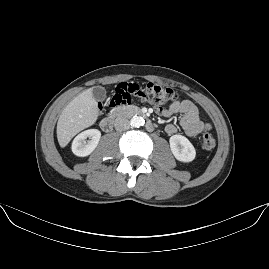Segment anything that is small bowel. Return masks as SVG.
<instances>
[{
    "instance_id": "small-bowel-1",
    "label": "small bowel",
    "mask_w": 269,
    "mask_h": 269,
    "mask_svg": "<svg viewBox=\"0 0 269 269\" xmlns=\"http://www.w3.org/2000/svg\"><path fill=\"white\" fill-rule=\"evenodd\" d=\"M161 114L165 117L180 115V126L189 137H196L210 130V125L201 120L198 108L190 100L177 101L162 109ZM166 132L168 134H175L177 132L176 125L168 124Z\"/></svg>"
}]
</instances>
